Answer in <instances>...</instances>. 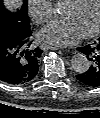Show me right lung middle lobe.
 I'll use <instances>...</instances> for the list:
<instances>
[{
  "label": "right lung middle lobe",
  "mask_w": 100,
  "mask_h": 118,
  "mask_svg": "<svg viewBox=\"0 0 100 118\" xmlns=\"http://www.w3.org/2000/svg\"><path fill=\"white\" fill-rule=\"evenodd\" d=\"M29 30L27 0H23V5L15 12L7 10L0 0V37L4 34L19 37Z\"/></svg>",
  "instance_id": "right-lung-middle-lobe-1"
}]
</instances>
